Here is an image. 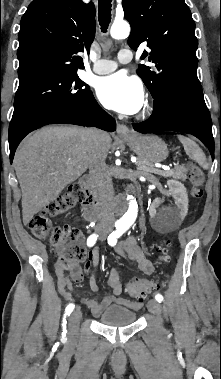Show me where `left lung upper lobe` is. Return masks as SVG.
Returning <instances> with one entry per match:
<instances>
[{
	"instance_id": "obj_1",
	"label": "left lung upper lobe",
	"mask_w": 221,
	"mask_h": 379,
	"mask_svg": "<svg viewBox=\"0 0 221 379\" xmlns=\"http://www.w3.org/2000/svg\"><path fill=\"white\" fill-rule=\"evenodd\" d=\"M124 17L131 25L128 44L146 42L153 67L139 65L137 74L154 100L162 93L204 99L197 78L198 46L195 22L184 0H123Z\"/></svg>"
}]
</instances>
